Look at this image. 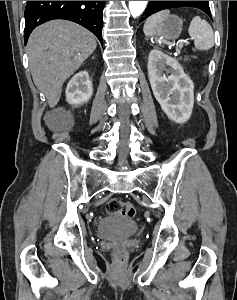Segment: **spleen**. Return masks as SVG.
<instances>
[{"instance_id": "3e777b00", "label": "spleen", "mask_w": 237, "mask_h": 300, "mask_svg": "<svg viewBox=\"0 0 237 300\" xmlns=\"http://www.w3.org/2000/svg\"><path fill=\"white\" fill-rule=\"evenodd\" d=\"M169 15L170 11L166 9V11H160V13L152 15V17H148L143 27L145 35L152 37L158 25H161ZM188 33L194 39L195 49L193 51H208V49H212L214 45V33L207 21H202L200 17H194L190 23Z\"/></svg>"}]
</instances>
